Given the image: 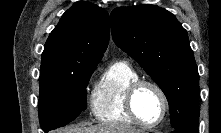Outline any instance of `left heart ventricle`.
Wrapping results in <instances>:
<instances>
[{"label":"left heart ventricle","instance_id":"b2bd125f","mask_svg":"<svg viewBox=\"0 0 221 133\" xmlns=\"http://www.w3.org/2000/svg\"><path fill=\"white\" fill-rule=\"evenodd\" d=\"M135 109L143 121H158L162 114V102L158 93L149 86L142 87L135 97Z\"/></svg>","mask_w":221,"mask_h":133}]
</instances>
